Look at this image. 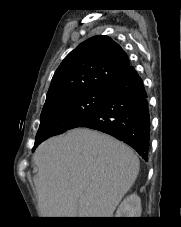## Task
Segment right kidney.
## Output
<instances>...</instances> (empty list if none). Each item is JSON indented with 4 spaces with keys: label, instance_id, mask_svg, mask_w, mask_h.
Returning a JSON list of instances; mask_svg holds the SVG:
<instances>
[{
    "label": "right kidney",
    "instance_id": "1",
    "mask_svg": "<svg viewBox=\"0 0 181 227\" xmlns=\"http://www.w3.org/2000/svg\"><path fill=\"white\" fill-rule=\"evenodd\" d=\"M141 199L133 193L127 196L119 205L115 217H140Z\"/></svg>",
    "mask_w": 181,
    "mask_h": 227
}]
</instances>
